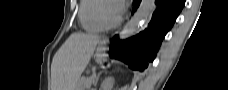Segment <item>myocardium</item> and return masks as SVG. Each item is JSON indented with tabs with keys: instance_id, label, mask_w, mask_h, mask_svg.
<instances>
[{
	"instance_id": "myocardium-1",
	"label": "myocardium",
	"mask_w": 228,
	"mask_h": 90,
	"mask_svg": "<svg viewBox=\"0 0 228 90\" xmlns=\"http://www.w3.org/2000/svg\"><path fill=\"white\" fill-rule=\"evenodd\" d=\"M107 4H113L114 5V1L102 0L97 7L96 17H97V20L100 22V24L104 28L110 29V28H114V27L118 26L121 23L122 16L118 15V17L116 19H114L112 21H108L103 15V9H104L105 5H107Z\"/></svg>"
}]
</instances>
